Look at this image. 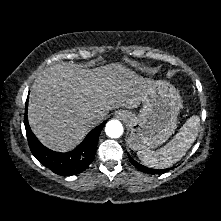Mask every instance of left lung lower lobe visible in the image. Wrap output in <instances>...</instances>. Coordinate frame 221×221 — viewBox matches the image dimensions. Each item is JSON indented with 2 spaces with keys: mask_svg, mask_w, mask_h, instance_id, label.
<instances>
[{
  "mask_svg": "<svg viewBox=\"0 0 221 221\" xmlns=\"http://www.w3.org/2000/svg\"><path fill=\"white\" fill-rule=\"evenodd\" d=\"M129 157V160L130 162L137 168L139 169L140 171L144 172V173H148V174H159V173H165L171 169H173L174 167L172 168H168V169H161V170H157V169H151V168H147L141 164H139L138 162H136L135 160H133L130 155H128Z\"/></svg>",
  "mask_w": 221,
  "mask_h": 221,
  "instance_id": "1",
  "label": "left lung lower lobe"
}]
</instances>
